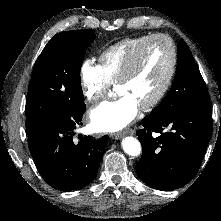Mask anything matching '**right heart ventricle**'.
Listing matches in <instances>:
<instances>
[{
	"label": "right heart ventricle",
	"instance_id": "1",
	"mask_svg": "<svg viewBox=\"0 0 221 221\" xmlns=\"http://www.w3.org/2000/svg\"><path fill=\"white\" fill-rule=\"evenodd\" d=\"M150 36L125 38L101 52L99 55L100 66L112 84L117 82L132 54Z\"/></svg>",
	"mask_w": 221,
	"mask_h": 221
}]
</instances>
